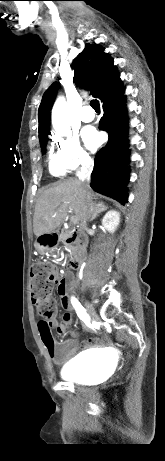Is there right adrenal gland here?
I'll return each instance as SVG.
<instances>
[{
	"instance_id": "obj_1",
	"label": "right adrenal gland",
	"mask_w": 165,
	"mask_h": 461,
	"mask_svg": "<svg viewBox=\"0 0 165 461\" xmlns=\"http://www.w3.org/2000/svg\"><path fill=\"white\" fill-rule=\"evenodd\" d=\"M107 208H108V207L105 206L104 204H100V209H99V211L97 212V214H95V215L92 216L91 221H93L95 218H97V216H99V214H100L101 212L106 211Z\"/></svg>"
}]
</instances>
